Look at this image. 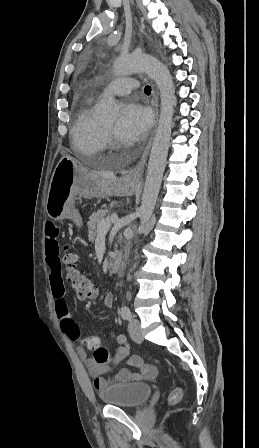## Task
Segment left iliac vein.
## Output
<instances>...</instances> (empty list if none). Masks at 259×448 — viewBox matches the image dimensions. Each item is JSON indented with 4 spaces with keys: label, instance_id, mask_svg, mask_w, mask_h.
<instances>
[{
    "label": "left iliac vein",
    "instance_id": "4c4485c4",
    "mask_svg": "<svg viewBox=\"0 0 259 448\" xmlns=\"http://www.w3.org/2000/svg\"><path fill=\"white\" fill-rule=\"evenodd\" d=\"M128 329H129V334H130L131 338L133 339V341L141 342L143 340L142 329H141L140 322L138 319L131 318L129 320Z\"/></svg>",
    "mask_w": 259,
    "mask_h": 448
}]
</instances>
